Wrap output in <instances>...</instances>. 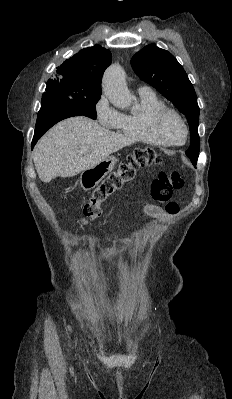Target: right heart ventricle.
I'll return each instance as SVG.
<instances>
[{
  "label": "right heart ventricle",
  "mask_w": 232,
  "mask_h": 399,
  "mask_svg": "<svg viewBox=\"0 0 232 399\" xmlns=\"http://www.w3.org/2000/svg\"><path fill=\"white\" fill-rule=\"evenodd\" d=\"M166 107L154 94H141L139 110L133 114L121 115L116 125L117 132L133 143H141L161 149L170 145L160 139L152 130L151 119L160 109Z\"/></svg>",
  "instance_id": "e07e8e85"
}]
</instances>
